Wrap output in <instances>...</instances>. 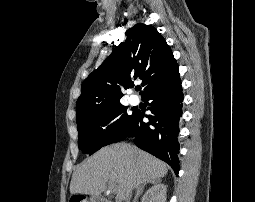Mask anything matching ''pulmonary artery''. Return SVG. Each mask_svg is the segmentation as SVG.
I'll list each match as a JSON object with an SVG mask.
<instances>
[{
  "instance_id": "pulmonary-artery-1",
  "label": "pulmonary artery",
  "mask_w": 255,
  "mask_h": 202,
  "mask_svg": "<svg viewBox=\"0 0 255 202\" xmlns=\"http://www.w3.org/2000/svg\"><path fill=\"white\" fill-rule=\"evenodd\" d=\"M129 101H130V103H131L132 105H135V104L138 103V98H137L136 96L133 95V96L130 97Z\"/></svg>"
}]
</instances>
